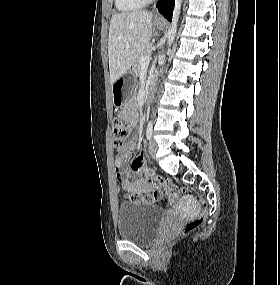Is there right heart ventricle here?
Masks as SVG:
<instances>
[{"label":"right heart ventricle","mask_w":280,"mask_h":285,"mask_svg":"<svg viewBox=\"0 0 280 285\" xmlns=\"http://www.w3.org/2000/svg\"><path fill=\"white\" fill-rule=\"evenodd\" d=\"M115 7L119 12H133L144 5L141 0H114Z\"/></svg>","instance_id":"e07e8e85"}]
</instances>
